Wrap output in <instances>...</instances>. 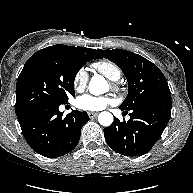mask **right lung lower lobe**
<instances>
[{"instance_id":"obj_1","label":"right lung lower lobe","mask_w":193,"mask_h":193,"mask_svg":"<svg viewBox=\"0 0 193 193\" xmlns=\"http://www.w3.org/2000/svg\"><path fill=\"white\" fill-rule=\"evenodd\" d=\"M59 103L47 102L17 115L22 134L30 147L45 157H60L78 144L86 112L72 111L66 117Z\"/></svg>"}]
</instances>
